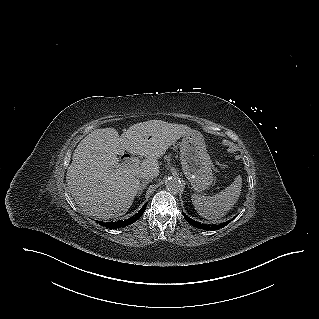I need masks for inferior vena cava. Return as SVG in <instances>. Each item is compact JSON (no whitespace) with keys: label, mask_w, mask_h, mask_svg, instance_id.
Instances as JSON below:
<instances>
[{"label":"inferior vena cava","mask_w":319,"mask_h":319,"mask_svg":"<svg viewBox=\"0 0 319 319\" xmlns=\"http://www.w3.org/2000/svg\"><path fill=\"white\" fill-rule=\"evenodd\" d=\"M156 176V173L154 171H141L137 174L138 179L142 180H150L153 179Z\"/></svg>","instance_id":"obj_1"}]
</instances>
